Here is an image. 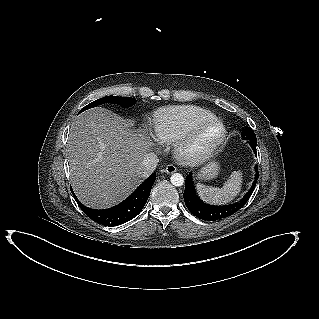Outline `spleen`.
<instances>
[{"label":"spleen","instance_id":"3e777b00","mask_svg":"<svg viewBox=\"0 0 319 319\" xmlns=\"http://www.w3.org/2000/svg\"><path fill=\"white\" fill-rule=\"evenodd\" d=\"M243 184L242 171H234L222 188L197 185L200 198L210 204H226L232 201L241 191Z\"/></svg>","mask_w":319,"mask_h":319}]
</instances>
